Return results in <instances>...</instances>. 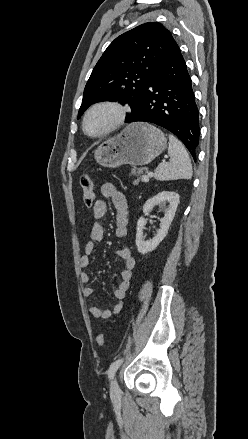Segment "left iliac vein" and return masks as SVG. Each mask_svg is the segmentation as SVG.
Returning a JSON list of instances; mask_svg holds the SVG:
<instances>
[{
    "instance_id": "4c4485c4",
    "label": "left iliac vein",
    "mask_w": 248,
    "mask_h": 439,
    "mask_svg": "<svg viewBox=\"0 0 248 439\" xmlns=\"http://www.w3.org/2000/svg\"><path fill=\"white\" fill-rule=\"evenodd\" d=\"M110 396L113 400H116L120 397V388L116 376L111 381Z\"/></svg>"
}]
</instances>
